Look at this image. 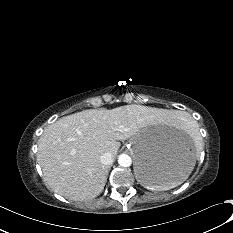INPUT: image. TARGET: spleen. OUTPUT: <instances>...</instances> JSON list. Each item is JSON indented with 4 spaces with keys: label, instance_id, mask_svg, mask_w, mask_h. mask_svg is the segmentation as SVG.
Instances as JSON below:
<instances>
[{
    "label": "spleen",
    "instance_id": "obj_1",
    "mask_svg": "<svg viewBox=\"0 0 233 233\" xmlns=\"http://www.w3.org/2000/svg\"><path fill=\"white\" fill-rule=\"evenodd\" d=\"M175 126L179 129H183L185 130L187 133L188 132H194L196 131L198 125L188 116H181L179 117L175 122H174ZM195 140L197 141V138H195ZM189 176V175H188ZM184 178V180L178 182V183H174L173 185L171 186H168V187H157V188H152L153 190H167V189H170V188H174L178 185H180L182 182H184L187 178Z\"/></svg>",
    "mask_w": 233,
    "mask_h": 233
}]
</instances>
